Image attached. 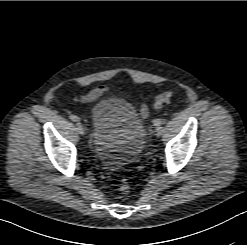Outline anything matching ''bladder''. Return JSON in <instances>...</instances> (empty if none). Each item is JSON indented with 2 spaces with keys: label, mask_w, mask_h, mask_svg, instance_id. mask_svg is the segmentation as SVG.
Listing matches in <instances>:
<instances>
[{
  "label": "bladder",
  "mask_w": 247,
  "mask_h": 245,
  "mask_svg": "<svg viewBox=\"0 0 247 245\" xmlns=\"http://www.w3.org/2000/svg\"><path fill=\"white\" fill-rule=\"evenodd\" d=\"M91 125L93 150L107 167L132 164L142 154L145 127L130 102L115 97L98 101L91 110Z\"/></svg>",
  "instance_id": "31cf9c89"
}]
</instances>
